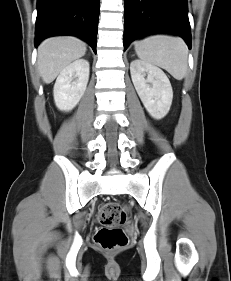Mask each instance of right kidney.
<instances>
[{
	"mask_svg": "<svg viewBox=\"0 0 231 281\" xmlns=\"http://www.w3.org/2000/svg\"><path fill=\"white\" fill-rule=\"evenodd\" d=\"M89 80V62L78 59L65 67L56 79L53 95L56 107L71 111L85 93Z\"/></svg>",
	"mask_w": 231,
	"mask_h": 281,
	"instance_id": "obj_1",
	"label": "right kidney"
}]
</instances>
